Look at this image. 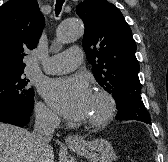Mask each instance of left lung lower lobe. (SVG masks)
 Listing matches in <instances>:
<instances>
[{
  "mask_svg": "<svg viewBox=\"0 0 168 162\" xmlns=\"http://www.w3.org/2000/svg\"><path fill=\"white\" fill-rule=\"evenodd\" d=\"M116 104L119 110L117 120H137L151 125L150 115L140 98L133 100L130 97Z\"/></svg>",
  "mask_w": 168,
  "mask_h": 162,
  "instance_id": "left-lung-lower-lobe-1",
  "label": "left lung lower lobe"
}]
</instances>
